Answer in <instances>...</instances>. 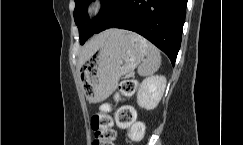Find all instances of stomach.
<instances>
[{
    "label": "stomach",
    "mask_w": 243,
    "mask_h": 145,
    "mask_svg": "<svg viewBox=\"0 0 243 145\" xmlns=\"http://www.w3.org/2000/svg\"><path fill=\"white\" fill-rule=\"evenodd\" d=\"M139 35L120 29L110 30L102 46L82 67V87L93 103L109 97L117 88L120 77L133 71L146 55Z\"/></svg>",
    "instance_id": "0dacf381"
}]
</instances>
